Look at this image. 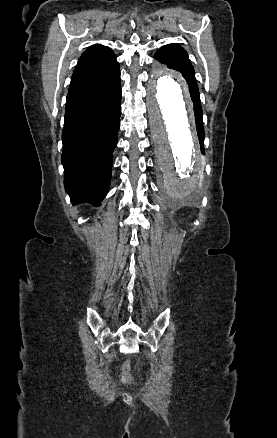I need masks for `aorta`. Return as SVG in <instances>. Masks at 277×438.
Instances as JSON below:
<instances>
[{"label":"aorta","instance_id":"obj_1","mask_svg":"<svg viewBox=\"0 0 277 438\" xmlns=\"http://www.w3.org/2000/svg\"><path fill=\"white\" fill-rule=\"evenodd\" d=\"M147 90L166 191L172 198L187 197L197 189L205 166L192 103L178 76L161 66L153 69Z\"/></svg>","mask_w":277,"mask_h":438}]
</instances>
